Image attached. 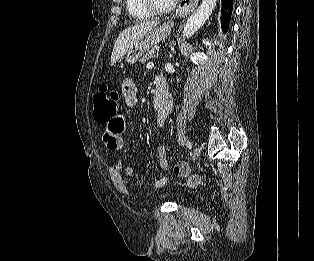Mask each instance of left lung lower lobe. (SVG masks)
Instances as JSON below:
<instances>
[{"label": "left lung lower lobe", "instance_id": "left-lung-lower-lobe-1", "mask_svg": "<svg viewBox=\"0 0 314 261\" xmlns=\"http://www.w3.org/2000/svg\"><path fill=\"white\" fill-rule=\"evenodd\" d=\"M232 11H233V0H222L221 20H222L223 31L225 33L228 30V25L231 20Z\"/></svg>", "mask_w": 314, "mask_h": 261}]
</instances>
